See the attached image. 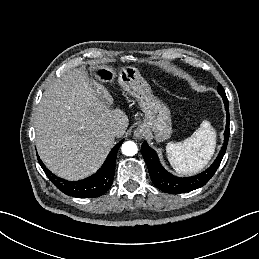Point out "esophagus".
<instances>
[{
    "label": "esophagus",
    "mask_w": 259,
    "mask_h": 259,
    "mask_svg": "<svg viewBox=\"0 0 259 259\" xmlns=\"http://www.w3.org/2000/svg\"><path fill=\"white\" fill-rule=\"evenodd\" d=\"M146 135V130L143 126H139L135 131H134V136L138 139H143Z\"/></svg>",
    "instance_id": "1"
}]
</instances>
